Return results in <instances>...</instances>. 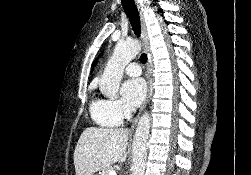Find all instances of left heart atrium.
Masks as SVG:
<instances>
[{
	"instance_id": "39dd6f15",
	"label": "left heart atrium",
	"mask_w": 251,
	"mask_h": 175,
	"mask_svg": "<svg viewBox=\"0 0 251 175\" xmlns=\"http://www.w3.org/2000/svg\"><path fill=\"white\" fill-rule=\"evenodd\" d=\"M145 93L146 86L142 78H129L121 87L123 100L132 108L137 107L143 101Z\"/></svg>"
}]
</instances>
